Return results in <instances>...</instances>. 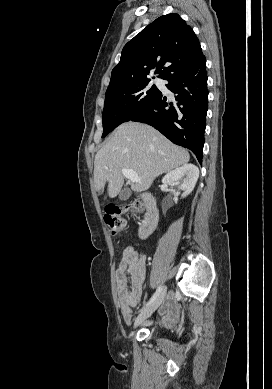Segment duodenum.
I'll return each mask as SVG.
<instances>
[{
	"mask_svg": "<svg viewBox=\"0 0 272 389\" xmlns=\"http://www.w3.org/2000/svg\"><path fill=\"white\" fill-rule=\"evenodd\" d=\"M139 197L142 199L148 209L147 216L141 222L139 235L141 238L148 237L155 229L158 221V211L156 208L155 199L149 193H140Z\"/></svg>",
	"mask_w": 272,
	"mask_h": 389,
	"instance_id": "410a0bca",
	"label": "duodenum"
}]
</instances>
